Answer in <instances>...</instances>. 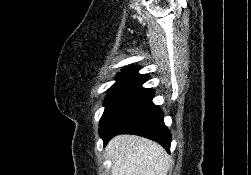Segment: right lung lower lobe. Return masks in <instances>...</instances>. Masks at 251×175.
<instances>
[{
  "instance_id": "right-lung-lower-lobe-1",
  "label": "right lung lower lobe",
  "mask_w": 251,
  "mask_h": 175,
  "mask_svg": "<svg viewBox=\"0 0 251 175\" xmlns=\"http://www.w3.org/2000/svg\"><path fill=\"white\" fill-rule=\"evenodd\" d=\"M144 82L126 90L100 121L99 134L104 146L113 136L128 133L152 139L170 151L171 134L164 124V114L152 102L154 91L142 87Z\"/></svg>"
}]
</instances>
